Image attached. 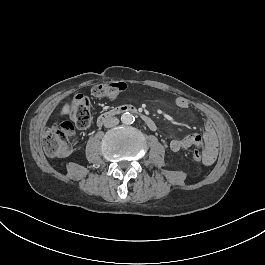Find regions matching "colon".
<instances>
[{"label":"colon","instance_id":"1","mask_svg":"<svg viewBox=\"0 0 265 265\" xmlns=\"http://www.w3.org/2000/svg\"><path fill=\"white\" fill-rule=\"evenodd\" d=\"M125 88L126 85L123 83L97 84L92 87L90 94L99 99L114 100L119 97ZM68 111L75 125L80 128L87 127L92 119L88 95L78 93ZM73 140V124L70 121L59 120L45 130L42 136L43 150L51 157L64 156L71 150L70 142H73ZM201 149L194 147L191 150L192 157L200 163H202L200 160Z\"/></svg>","mask_w":265,"mask_h":265}]
</instances>
